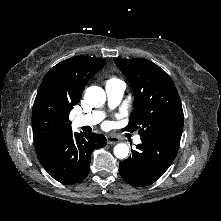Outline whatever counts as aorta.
Listing matches in <instances>:
<instances>
[{
  "label": "aorta",
  "instance_id": "1",
  "mask_svg": "<svg viewBox=\"0 0 221 221\" xmlns=\"http://www.w3.org/2000/svg\"><path fill=\"white\" fill-rule=\"evenodd\" d=\"M85 101L92 107L100 106L106 101L104 90L98 86H90L85 92ZM129 147L125 143H119L114 147V155L119 159H124L128 156Z\"/></svg>",
  "mask_w": 221,
  "mask_h": 221
}]
</instances>
